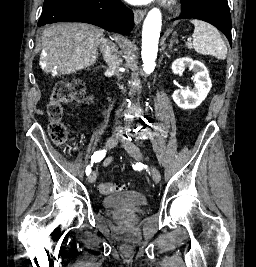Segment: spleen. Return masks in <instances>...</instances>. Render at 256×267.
<instances>
[{
  "label": "spleen",
  "instance_id": "3e777b00",
  "mask_svg": "<svg viewBox=\"0 0 256 267\" xmlns=\"http://www.w3.org/2000/svg\"><path fill=\"white\" fill-rule=\"evenodd\" d=\"M194 24V32L192 42H186L189 50H195L198 54H206V56H214L217 60H226L228 50L227 46L221 38L217 28L201 22V20H190Z\"/></svg>",
  "mask_w": 256,
  "mask_h": 267
}]
</instances>
